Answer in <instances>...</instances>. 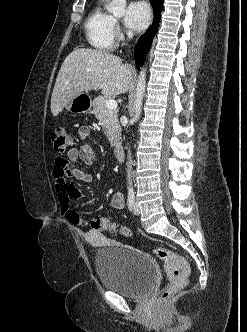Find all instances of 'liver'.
Returning <instances> with one entry per match:
<instances>
[{"instance_id":"obj_1","label":"liver","mask_w":247,"mask_h":332,"mask_svg":"<svg viewBox=\"0 0 247 332\" xmlns=\"http://www.w3.org/2000/svg\"><path fill=\"white\" fill-rule=\"evenodd\" d=\"M134 71L122 59L105 51L78 48L64 60L52 97L51 112L56 117L76 95L101 90L105 96L128 91Z\"/></svg>"}]
</instances>
